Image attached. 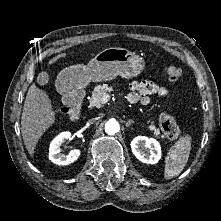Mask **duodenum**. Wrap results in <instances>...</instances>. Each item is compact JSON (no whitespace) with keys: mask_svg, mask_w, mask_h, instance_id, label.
<instances>
[{"mask_svg":"<svg viewBox=\"0 0 221 221\" xmlns=\"http://www.w3.org/2000/svg\"><path fill=\"white\" fill-rule=\"evenodd\" d=\"M66 103L70 107V119L79 120L82 113V104L84 100V90H66Z\"/></svg>","mask_w":221,"mask_h":221,"instance_id":"410a0bca","label":"duodenum"}]
</instances>
